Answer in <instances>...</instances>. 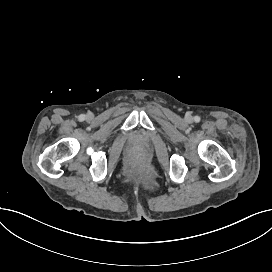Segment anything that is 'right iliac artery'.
I'll list each match as a JSON object with an SVG mask.
<instances>
[{
  "label": "right iliac artery",
  "instance_id": "right-iliac-artery-1",
  "mask_svg": "<svg viewBox=\"0 0 272 272\" xmlns=\"http://www.w3.org/2000/svg\"><path fill=\"white\" fill-rule=\"evenodd\" d=\"M84 120H85V115L81 114V115L79 116V121H84Z\"/></svg>",
  "mask_w": 272,
  "mask_h": 272
}]
</instances>
